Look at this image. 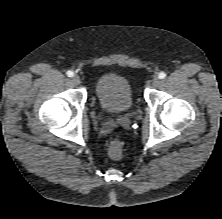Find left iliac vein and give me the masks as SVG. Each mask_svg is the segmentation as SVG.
Segmentation results:
<instances>
[{"label": "left iliac vein", "mask_w": 222, "mask_h": 219, "mask_svg": "<svg viewBox=\"0 0 222 219\" xmlns=\"http://www.w3.org/2000/svg\"><path fill=\"white\" fill-rule=\"evenodd\" d=\"M159 83H160L159 77L155 76V77L152 79V84H153L154 86H157V85H159Z\"/></svg>", "instance_id": "left-iliac-vein-1"}]
</instances>
